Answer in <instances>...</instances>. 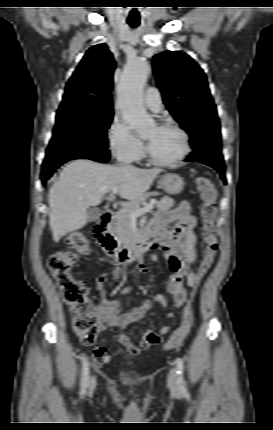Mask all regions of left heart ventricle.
Segmentation results:
<instances>
[{
	"instance_id": "obj_1",
	"label": "left heart ventricle",
	"mask_w": 273,
	"mask_h": 430,
	"mask_svg": "<svg viewBox=\"0 0 273 430\" xmlns=\"http://www.w3.org/2000/svg\"><path fill=\"white\" fill-rule=\"evenodd\" d=\"M152 154L160 160H171L182 150V138L174 130L153 126L144 135Z\"/></svg>"
}]
</instances>
